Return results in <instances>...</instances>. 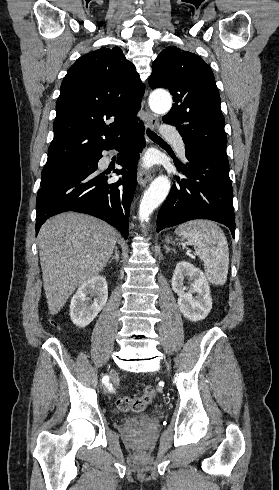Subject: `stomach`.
<instances>
[{
    "mask_svg": "<svg viewBox=\"0 0 279 490\" xmlns=\"http://www.w3.org/2000/svg\"><path fill=\"white\" fill-rule=\"evenodd\" d=\"M166 242H171L170 236H166Z\"/></svg>",
    "mask_w": 279,
    "mask_h": 490,
    "instance_id": "1",
    "label": "stomach"
}]
</instances>
